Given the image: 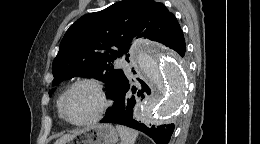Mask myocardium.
<instances>
[{"label":"myocardium","instance_id":"f54148a6","mask_svg":"<svg viewBox=\"0 0 260 144\" xmlns=\"http://www.w3.org/2000/svg\"><path fill=\"white\" fill-rule=\"evenodd\" d=\"M81 85L90 86L95 90V92L97 93V95L99 97L100 106H99L96 114L93 117H91L90 119H87V120H84L81 122H74L68 118L66 111H65V104H66V101H67L69 95L72 93V91ZM107 107H108V99H107L105 90H104L103 86L101 85V83L94 79L85 78V79H80V80L75 81L65 91V93L62 96L61 103H60V112H61L62 118L67 123H69L73 126H87V125L97 122L102 117V115L106 111Z\"/></svg>","mask_w":260,"mask_h":144}]
</instances>
